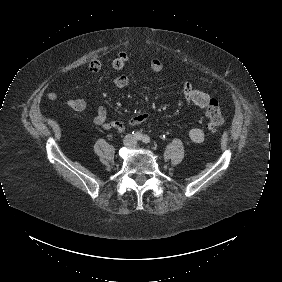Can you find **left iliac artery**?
Returning <instances> with one entry per match:
<instances>
[{
	"label": "left iliac artery",
	"mask_w": 282,
	"mask_h": 282,
	"mask_svg": "<svg viewBox=\"0 0 282 282\" xmlns=\"http://www.w3.org/2000/svg\"><path fill=\"white\" fill-rule=\"evenodd\" d=\"M142 142H143V143H149V142H150L149 136L144 135V136L142 137Z\"/></svg>",
	"instance_id": "left-iliac-artery-1"
}]
</instances>
